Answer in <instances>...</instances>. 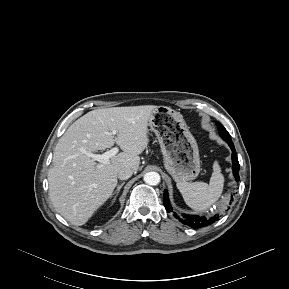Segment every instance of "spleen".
<instances>
[{
	"mask_svg": "<svg viewBox=\"0 0 289 289\" xmlns=\"http://www.w3.org/2000/svg\"><path fill=\"white\" fill-rule=\"evenodd\" d=\"M224 176L217 161L213 164V173L209 184L205 182H177V188L185 203L196 211H204L214 204L222 194Z\"/></svg>",
	"mask_w": 289,
	"mask_h": 289,
	"instance_id": "1",
	"label": "spleen"
}]
</instances>
